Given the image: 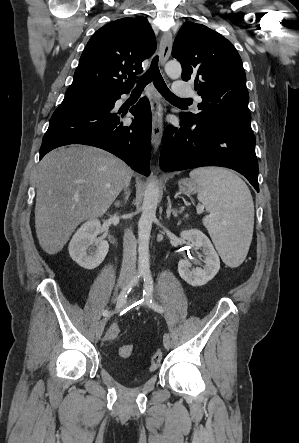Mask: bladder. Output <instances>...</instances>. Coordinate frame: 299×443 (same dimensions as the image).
<instances>
[{"mask_svg": "<svg viewBox=\"0 0 299 443\" xmlns=\"http://www.w3.org/2000/svg\"><path fill=\"white\" fill-rule=\"evenodd\" d=\"M120 379L127 385H138L143 383L147 378L148 374L140 373V372H126L120 374Z\"/></svg>", "mask_w": 299, "mask_h": 443, "instance_id": "obj_1", "label": "bladder"}]
</instances>
